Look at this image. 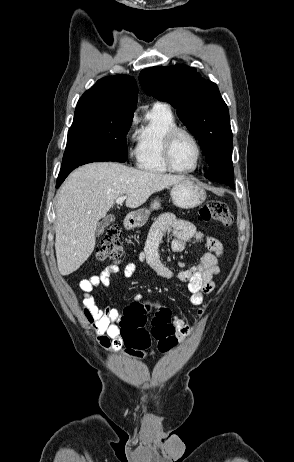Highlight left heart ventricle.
<instances>
[{
    "label": "left heart ventricle",
    "mask_w": 294,
    "mask_h": 462,
    "mask_svg": "<svg viewBox=\"0 0 294 462\" xmlns=\"http://www.w3.org/2000/svg\"><path fill=\"white\" fill-rule=\"evenodd\" d=\"M197 150L192 140L186 135L176 138L172 148V160L176 167L189 169L194 166Z\"/></svg>",
    "instance_id": "obj_1"
}]
</instances>
